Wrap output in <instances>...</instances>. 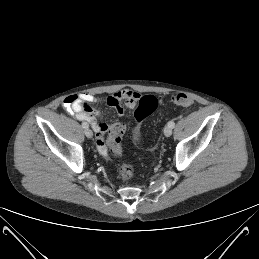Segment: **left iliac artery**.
I'll use <instances>...</instances> for the list:
<instances>
[{
  "label": "left iliac artery",
  "instance_id": "obj_1",
  "mask_svg": "<svg viewBox=\"0 0 259 259\" xmlns=\"http://www.w3.org/2000/svg\"><path fill=\"white\" fill-rule=\"evenodd\" d=\"M168 126H170L171 128H174V126H175L174 121L173 120L169 121Z\"/></svg>",
  "mask_w": 259,
  "mask_h": 259
}]
</instances>
